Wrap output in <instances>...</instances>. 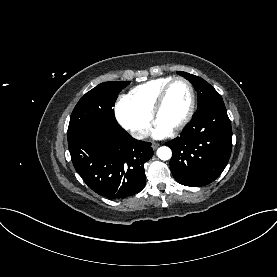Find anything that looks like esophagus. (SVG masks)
I'll use <instances>...</instances> for the list:
<instances>
[{"label": "esophagus", "mask_w": 277, "mask_h": 277, "mask_svg": "<svg viewBox=\"0 0 277 277\" xmlns=\"http://www.w3.org/2000/svg\"><path fill=\"white\" fill-rule=\"evenodd\" d=\"M159 143H156V142H154V143H152V149L153 150H155V149H157L158 147H159Z\"/></svg>", "instance_id": "34e87169"}]
</instances>
